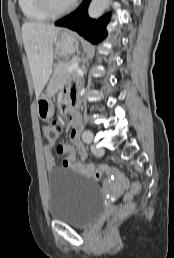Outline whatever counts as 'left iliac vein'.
Segmentation results:
<instances>
[{"instance_id":"left-iliac-vein-1","label":"left iliac vein","mask_w":174,"mask_h":258,"mask_svg":"<svg viewBox=\"0 0 174 258\" xmlns=\"http://www.w3.org/2000/svg\"><path fill=\"white\" fill-rule=\"evenodd\" d=\"M91 151L92 153L95 155V156H102L104 154V150L102 148H98L97 146L95 145H92L91 146Z\"/></svg>"}]
</instances>
